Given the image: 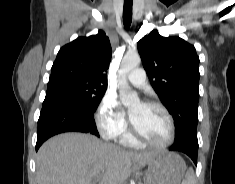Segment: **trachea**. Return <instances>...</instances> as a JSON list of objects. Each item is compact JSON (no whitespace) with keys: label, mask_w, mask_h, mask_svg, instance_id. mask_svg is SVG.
Wrapping results in <instances>:
<instances>
[{"label":"trachea","mask_w":235,"mask_h":184,"mask_svg":"<svg viewBox=\"0 0 235 184\" xmlns=\"http://www.w3.org/2000/svg\"><path fill=\"white\" fill-rule=\"evenodd\" d=\"M132 21V0H124L123 23L125 28H129Z\"/></svg>","instance_id":"3493384b"}]
</instances>
